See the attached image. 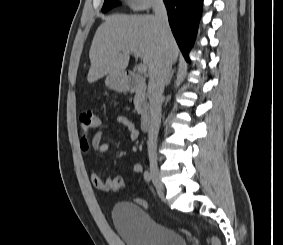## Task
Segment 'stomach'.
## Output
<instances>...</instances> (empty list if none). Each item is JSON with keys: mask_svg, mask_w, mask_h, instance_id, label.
<instances>
[{"mask_svg": "<svg viewBox=\"0 0 283 245\" xmlns=\"http://www.w3.org/2000/svg\"><path fill=\"white\" fill-rule=\"evenodd\" d=\"M106 85L112 89H121L125 86V81L122 75L109 74L105 81Z\"/></svg>", "mask_w": 283, "mask_h": 245, "instance_id": "1", "label": "stomach"}]
</instances>
